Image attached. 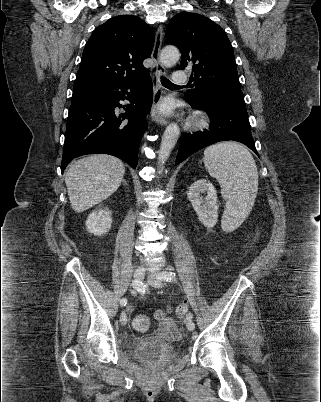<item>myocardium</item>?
Wrapping results in <instances>:
<instances>
[{
  "label": "myocardium",
  "instance_id": "f54148a6",
  "mask_svg": "<svg viewBox=\"0 0 321 402\" xmlns=\"http://www.w3.org/2000/svg\"><path fill=\"white\" fill-rule=\"evenodd\" d=\"M192 124L195 127L204 128L209 125V121L204 117H196L193 119Z\"/></svg>",
  "mask_w": 321,
  "mask_h": 402
}]
</instances>
